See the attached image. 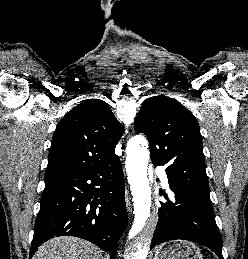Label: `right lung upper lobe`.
Here are the masks:
<instances>
[{
	"label": "right lung upper lobe",
	"instance_id": "1",
	"mask_svg": "<svg viewBox=\"0 0 248 259\" xmlns=\"http://www.w3.org/2000/svg\"><path fill=\"white\" fill-rule=\"evenodd\" d=\"M121 124L106 102L88 99L67 112L53 134L45 179L102 166L112 160Z\"/></svg>",
	"mask_w": 248,
	"mask_h": 259
}]
</instances>
